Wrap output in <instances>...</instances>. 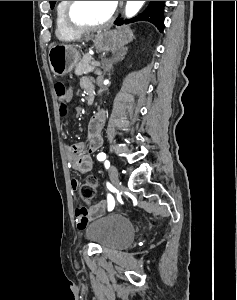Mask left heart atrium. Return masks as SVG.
<instances>
[{
    "mask_svg": "<svg viewBox=\"0 0 237 300\" xmlns=\"http://www.w3.org/2000/svg\"><path fill=\"white\" fill-rule=\"evenodd\" d=\"M110 2H111V4H112L113 8H115L116 5H117V1H110Z\"/></svg>",
    "mask_w": 237,
    "mask_h": 300,
    "instance_id": "39dd6f15",
    "label": "left heart atrium"
}]
</instances>
